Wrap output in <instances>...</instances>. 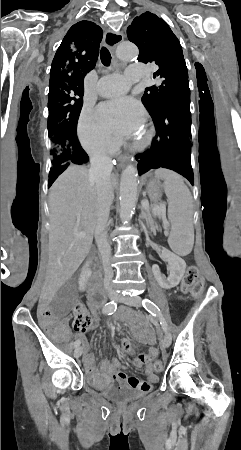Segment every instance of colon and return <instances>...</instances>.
Instances as JSON below:
<instances>
[{
  "instance_id": "1",
  "label": "colon",
  "mask_w": 241,
  "mask_h": 450,
  "mask_svg": "<svg viewBox=\"0 0 241 450\" xmlns=\"http://www.w3.org/2000/svg\"><path fill=\"white\" fill-rule=\"evenodd\" d=\"M181 289L185 293L192 292L195 294L198 298L202 295L204 288H203V281L199 280V272L197 267L190 266L188 270L185 272L184 277L182 279ZM86 302L84 300H78L76 302L75 308H73L72 313L75 316H83L86 313L85 310ZM156 370H161L162 365L161 362H156Z\"/></svg>"
}]
</instances>
